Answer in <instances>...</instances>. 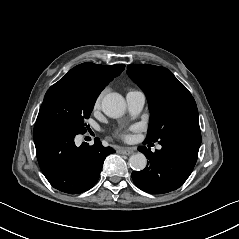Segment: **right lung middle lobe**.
I'll list each match as a JSON object with an SVG mask.
<instances>
[{
    "mask_svg": "<svg viewBox=\"0 0 239 239\" xmlns=\"http://www.w3.org/2000/svg\"><path fill=\"white\" fill-rule=\"evenodd\" d=\"M99 94L62 77L47 91L36 124L53 121L65 124L77 133L85 132L84 120L89 118Z\"/></svg>",
    "mask_w": 239,
    "mask_h": 239,
    "instance_id": "obj_1",
    "label": "right lung middle lobe"
}]
</instances>
